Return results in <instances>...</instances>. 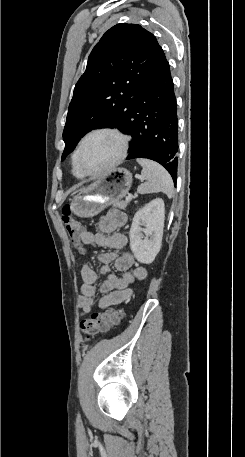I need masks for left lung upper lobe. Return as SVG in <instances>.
<instances>
[{
    "mask_svg": "<svg viewBox=\"0 0 245 457\" xmlns=\"http://www.w3.org/2000/svg\"><path fill=\"white\" fill-rule=\"evenodd\" d=\"M161 51L155 36L136 24L110 28L95 45L77 82L63 131L62 160L96 128H117L144 98Z\"/></svg>",
    "mask_w": 245,
    "mask_h": 457,
    "instance_id": "5c2ea615",
    "label": "left lung upper lobe"
}]
</instances>
